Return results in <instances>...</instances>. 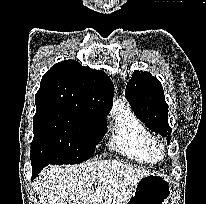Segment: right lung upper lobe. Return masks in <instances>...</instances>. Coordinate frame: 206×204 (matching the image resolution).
Instances as JSON below:
<instances>
[{"label": "right lung upper lobe", "mask_w": 206, "mask_h": 204, "mask_svg": "<svg viewBox=\"0 0 206 204\" xmlns=\"http://www.w3.org/2000/svg\"><path fill=\"white\" fill-rule=\"evenodd\" d=\"M114 86L103 71L75 60L59 62L42 77L36 105H57L106 116L112 108Z\"/></svg>", "instance_id": "right-lung-upper-lobe-1"}]
</instances>
